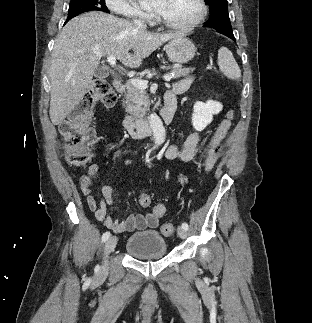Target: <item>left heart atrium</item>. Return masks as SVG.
<instances>
[{
	"label": "left heart atrium",
	"instance_id": "1",
	"mask_svg": "<svg viewBox=\"0 0 312 323\" xmlns=\"http://www.w3.org/2000/svg\"><path fill=\"white\" fill-rule=\"evenodd\" d=\"M151 6H152V7H155V6H156V3H155V2H152V3H151Z\"/></svg>",
	"mask_w": 312,
	"mask_h": 323
}]
</instances>
